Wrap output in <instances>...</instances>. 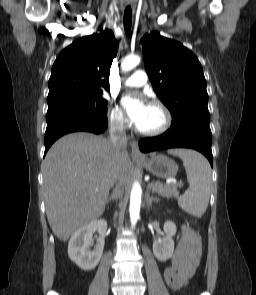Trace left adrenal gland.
Returning a JSON list of instances; mask_svg holds the SVG:
<instances>
[{
    "instance_id": "1",
    "label": "left adrenal gland",
    "mask_w": 256,
    "mask_h": 295,
    "mask_svg": "<svg viewBox=\"0 0 256 295\" xmlns=\"http://www.w3.org/2000/svg\"><path fill=\"white\" fill-rule=\"evenodd\" d=\"M148 189L149 188H147V191H146V194H145V199H146L147 207H150L153 202H158L159 200L157 198H154L153 196H150Z\"/></svg>"
}]
</instances>
